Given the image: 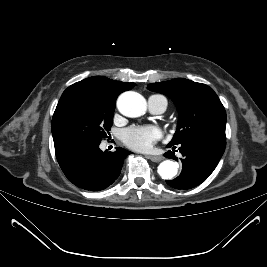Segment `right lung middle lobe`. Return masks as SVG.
Listing matches in <instances>:
<instances>
[{
    "instance_id": "1",
    "label": "right lung middle lobe",
    "mask_w": 267,
    "mask_h": 267,
    "mask_svg": "<svg viewBox=\"0 0 267 267\" xmlns=\"http://www.w3.org/2000/svg\"><path fill=\"white\" fill-rule=\"evenodd\" d=\"M115 101L90 86H70L52 118L55 150L80 143H100L113 124Z\"/></svg>"
}]
</instances>
